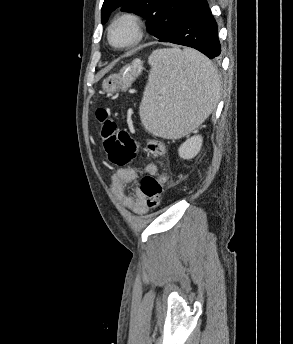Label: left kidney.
Segmentation results:
<instances>
[{"label": "left kidney", "mask_w": 293, "mask_h": 344, "mask_svg": "<svg viewBox=\"0 0 293 344\" xmlns=\"http://www.w3.org/2000/svg\"><path fill=\"white\" fill-rule=\"evenodd\" d=\"M202 143V136L195 135L190 137L179 147V156L187 160L194 158L200 152Z\"/></svg>", "instance_id": "5707ae66"}]
</instances>
